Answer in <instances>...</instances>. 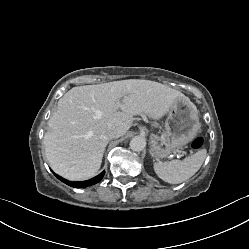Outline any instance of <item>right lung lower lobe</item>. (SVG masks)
Wrapping results in <instances>:
<instances>
[{"instance_id": "obj_1", "label": "right lung lower lobe", "mask_w": 249, "mask_h": 249, "mask_svg": "<svg viewBox=\"0 0 249 249\" xmlns=\"http://www.w3.org/2000/svg\"><path fill=\"white\" fill-rule=\"evenodd\" d=\"M105 174V171H103L102 173H100L98 176L90 179V180H87V181H82V182H71V181H68L62 177H60L59 175L55 174L54 175L59 179L61 180L62 182L66 183L67 185L71 186V187H74V188H85L87 186H91V185H94L98 182L101 181V179L103 178Z\"/></svg>"}]
</instances>
